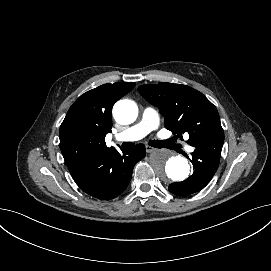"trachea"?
I'll list each match as a JSON object with an SVG mask.
<instances>
[{
	"mask_svg": "<svg viewBox=\"0 0 271 271\" xmlns=\"http://www.w3.org/2000/svg\"><path fill=\"white\" fill-rule=\"evenodd\" d=\"M148 144L155 148H165L166 147V141H160V140H150ZM134 143L132 142H126L123 144L124 148H132L134 147Z\"/></svg>",
	"mask_w": 271,
	"mask_h": 271,
	"instance_id": "trachea-1",
	"label": "trachea"
}]
</instances>
